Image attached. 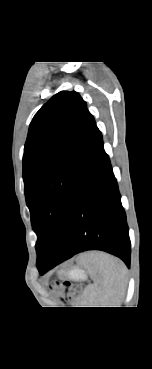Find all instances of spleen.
I'll return each instance as SVG.
<instances>
[{
    "label": "spleen",
    "mask_w": 152,
    "mask_h": 369,
    "mask_svg": "<svg viewBox=\"0 0 152 369\" xmlns=\"http://www.w3.org/2000/svg\"><path fill=\"white\" fill-rule=\"evenodd\" d=\"M94 283L85 287L81 305L88 307H117L126 290L125 265L118 259L102 253L92 252L85 261Z\"/></svg>",
    "instance_id": "1"
}]
</instances>
